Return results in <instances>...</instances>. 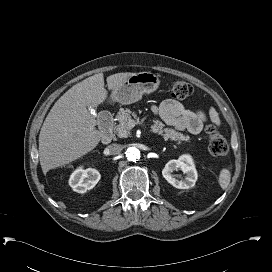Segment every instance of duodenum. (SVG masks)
I'll use <instances>...</instances> for the list:
<instances>
[{"instance_id":"410a0bca","label":"duodenum","mask_w":272,"mask_h":272,"mask_svg":"<svg viewBox=\"0 0 272 272\" xmlns=\"http://www.w3.org/2000/svg\"><path fill=\"white\" fill-rule=\"evenodd\" d=\"M99 124L102 129V142L108 144L113 139L112 116L108 112L101 114Z\"/></svg>"}]
</instances>
